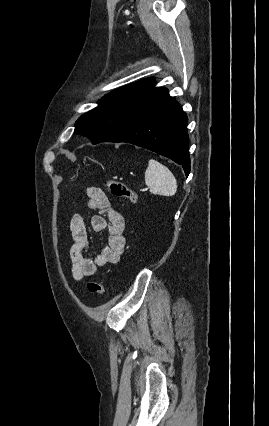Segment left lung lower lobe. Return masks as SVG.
Wrapping results in <instances>:
<instances>
[{"mask_svg": "<svg viewBox=\"0 0 269 426\" xmlns=\"http://www.w3.org/2000/svg\"><path fill=\"white\" fill-rule=\"evenodd\" d=\"M154 81L132 96L102 142H127L154 151L182 165L188 176L187 116L166 88L153 86Z\"/></svg>", "mask_w": 269, "mask_h": 426, "instance_id": "left-lung-lower-lobe-1", "label": "left lung lower lobe"}]
</instances>
